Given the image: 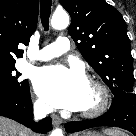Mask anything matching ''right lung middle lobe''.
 Segmentation results:
<instances>
[{"label": "right lung middle lobe", "instance_id": "obj_1", "mask_svg": "<svg viewBox=\"0 0 136 136\" xmlns=\"http://www.w3.org/2000/svg\"><path fill=\"white\" fill-rule=\"evenodd\" d=\"M21 73L15 68V62L0 64V96L18 95L28 86V81H20Z\"/></svg>", "mask_w": 136, "mask_h": 136}]
</instances>
